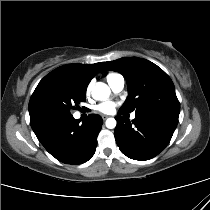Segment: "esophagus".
Instances as JSON below:
<instances>
[{
  "label": "esophagus",
  "mask_w": 210,
  "mask_h": 210,
  "mask_svg": "<svg viewBox=\"0 0 210 210\" xmlns=\"http://www.w3.org/2000/svg\"><path fill=\"white\" fill-rule=\"evenodd\" d=\"M109 116L108 115H102V119L106 120Z\"/></svg>",
  "instance_id": "esophagus-1"
}]
</instances>
